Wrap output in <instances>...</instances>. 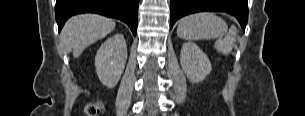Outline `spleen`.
<instances>
[{
  "mask_svg": "<svg viewBox=\"0 0 305 116\" xmlns=\"http://www.w3.org/2000/svg\"><path fill=\"white\" fill-rule=\"evenodd\" d=\"M227 30L228 26L222 18L210 12H201L181 18L177 27V35L189 41L219 38L218 47L225 51L226 40L222 37Z\"/></svg>",
  "mask_w": 305,
  "mask_h": 116,
  "instance_id": "obj_1",
  "label": "spleen"
}]
</instances>
